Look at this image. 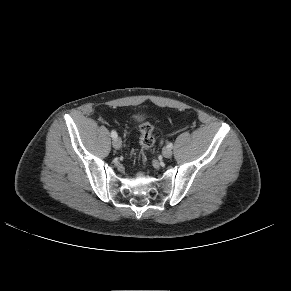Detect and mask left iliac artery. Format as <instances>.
<instances>
[{
	"instance_id": "left-iliac-artery-1",
	"label": "left iliac artery",
	"mask_w": 291,
	"mask_h": 291,
	"mask_svg": "<svg viewBox=\"0 0 291 291\" xmlns=\"http://www.w3.org/2000/svg\"><path fill=\"white\" fill-rule=\"evenodd\" d=\"M167 147H168V148H173V144H172V143H169V144L167 145Z\"/></svg>"
}]
</instances>
